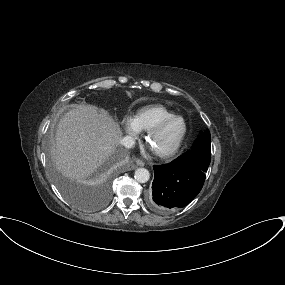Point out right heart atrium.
<instances>
[{"label":"right heart atrium","instance_id":"obj_1","mask_svg":"<svg viewBox=\"0 0 285 285\" xmlns=\"http://www.w3.org/2000/svg\"><path fill=\"white\" fill-rule=\"evenodd\" d=\"M124 132L132 137H137L140 130L137 128L133 118L125 117L123 120Z\"/></svg>","mask_w":285,"mask_h":285}]
</instances>
